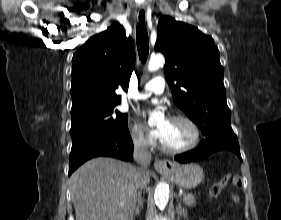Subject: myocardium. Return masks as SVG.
<instances>
[{"instance_id": "1", "label": "myocardium", "mask_w": 281, "mask_h": 220, "mask_svg": "<svg viewBox=\"0 0 281 220\" xmlns=\"http://www.w3.org/2000/svg\"><path fill=\"white\" fill-rule=\"evenodd\" d=\"M170 120L186 122L192 129L193 138L189 144H187L183 147H179V148L167 147L161 141L160 142L161 150L166 153H169V154H180V153H185V152H188V151H191L192 149H194L199 144V141H200V129H199L197 123L192 118H190L186 115H182V114L173 115L170 118Z\"/></svg>"}]
</instances>
